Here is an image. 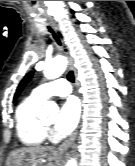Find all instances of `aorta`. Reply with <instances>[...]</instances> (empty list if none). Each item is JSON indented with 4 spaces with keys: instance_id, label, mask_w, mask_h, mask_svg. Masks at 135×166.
Masks as SVG:
<instances>
[{
    "instance_id": "762f6f07",
    "label": "aorta",
    "mask_w": 135,
    "mask_h": 166,
    "mask_svg": "<svg viewBox=\"0 0 135 166\" xmlns=\"http://www.w3.org/2000/svg\"><path fill=\"white\" fill-rule=\"evenodd\" d=\"M67 67V59L63 56H57L52 60L48 61L44 67V75L48 79H55L60 77ZM58 106L54 101H47L40 109V113L49 114L57 113ZM65 166H77V160L70 158Z\"/></svg>"
}]
</instances>
